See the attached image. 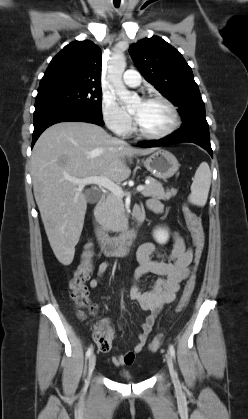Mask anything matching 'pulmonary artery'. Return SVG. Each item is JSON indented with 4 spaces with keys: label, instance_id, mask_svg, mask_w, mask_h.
Segmentation results:
<instances>
[{
    "label": "pulmonary artery",
    "instance_id": "pulmonary-artery-1",
    "mask_svg": "<svg viewBox=\"0 0 248 419\" xmlns=\"http://www.w3.org/2000/svg\"><path fill=\"white\" fill-rule=\"evenodd\" d=\"M123 82L129 87L139 86L141 82L139 72L135 70H127L123 75Z\"/></svg>",
    "mask_w": 248,
    "mask_h": 419
}]
</instances>
